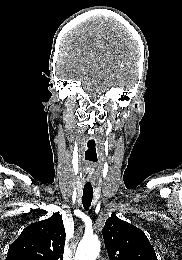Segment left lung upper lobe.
Instances as JSON below:
<instances>
[{
    "instance_id": "1",
    "label": "left lung upper lobe",
    "mask_w": 182,
    "mask_h": 260,
    "mask_svg": "<svg viewBox=\"0 0 182 260\" xmlns=\"http://www.w3.org/2000/svg\"><path fill=\"white\" fill-rule=\"evenodd\" d=\"M110 260H157L142 230L112 213L102 230Z\"/></svg>"
}]
</instances>
